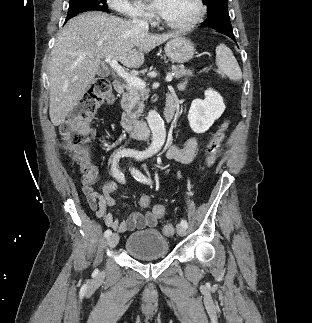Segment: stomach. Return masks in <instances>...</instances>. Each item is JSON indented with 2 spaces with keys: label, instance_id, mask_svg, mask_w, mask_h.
<instances>
[{
  "label": "stomach",
  "instance_id": "0dacf381",
  "mask_svg": "<svg viewBox=\"0 0 312 323\" xmlns=\"http://www.w3.org/2000/svg\"><path fill=\"white\" fill-rule=\"evenodd\" d=\"M164 50L171 62H177V64L189 62L195 54L194 44H192L191 40H186L182 36H177V38L167 42Z\"/></svg>",
  "mask_w": 312,
  "mask_h": 323
}]
</instances>
